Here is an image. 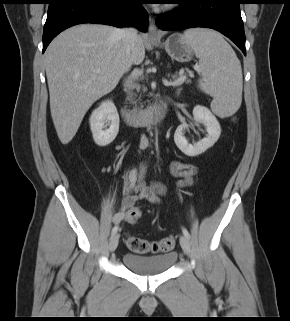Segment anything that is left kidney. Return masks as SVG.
I'll return each instance as SVG.
<instances>
[{
	"instance_id": "1",
	"label": "left kidney",
	"mask_w": 290,
	"mask_h": 321,
	"mask_svg": "<svg viewBox=\"0 0 290 321\" xmlns=\"http://www.w3.org/2000/svg\"><path fill=\"white\" fill-rule=\"evenodd\" d=\"M193 116L197 123H202L206 127L208 135L197 143L190 144L184 136V131L188 125L183 124L176 129L174 141L177 147L188 156L202 154L215 144L221 134L220 124L208 108L197 105L193 109Z\"/></svg>"
}]
</instances>
